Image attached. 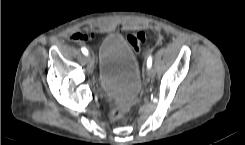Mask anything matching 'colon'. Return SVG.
I'll return each instance as SVG.
<instances>
[{"mask_svg": "<svg viewBox=\"0 0 245 145\" xmlns=\"http://www.w3.org/2000/svg\"><path fill=\"white\" fill-rule=\"evenodd\" d=\"M153 37V32L151 30H138L127 36V40L132 45L135 52H139L142 43L146 41L148 38ZM91 35L82 30H75L69 36V39L74 42H86L90 40ZM129 112V106L125 103H120L116 105L111 113V120L114 122L122 121Z\"/></svg>", "mask_w": 245, "mask_h": 145, "instance_id": "colon-1", "label": "colon"}]
</instances>
